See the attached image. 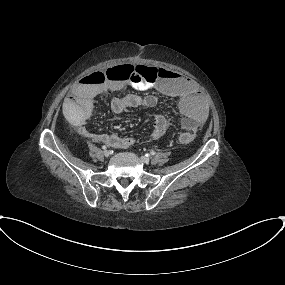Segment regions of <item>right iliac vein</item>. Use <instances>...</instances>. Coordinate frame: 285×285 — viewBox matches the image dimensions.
I'll list each match as a JSON object with an SVG mask.
<instances>
[{"instance_id":"63e3f726","label":"right iliac vein","mask_w":285,"mask_h":285,"mask_svg":"<svg viewBox=\"0 0 285 285\" xmlns=\"http://www.w3.org/2000/svg\"><path fill=\"white\" fill-rule=\"evenodd\" d=\"M103 155H104L105 157H109V156H110V152H109L108 150H105V151L103 152Z\"/></svg>"}]
</instances>
